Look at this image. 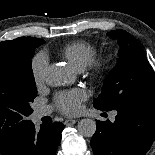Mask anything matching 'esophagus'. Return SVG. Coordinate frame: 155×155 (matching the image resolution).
Masks as SVG:
<instances>
[{
    "instance_id": "1",
    "label": "esophagus",
    "mask_w": 155,
    "mask_h": 155,
    "mask_svg": "<svg viewBox=\"0 0 155 155\" xmlns=\"http://www.w3.org/2000/svg\"><path fill=\"white\" fill-rule=\"evenodd\" d=\"M76 122H77V120H75V119H67V120H65L64 124H65L66 126H72V125H74Z\"/></svg>"
}]
</instances>
